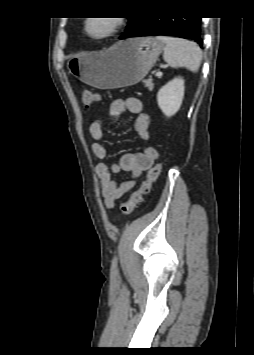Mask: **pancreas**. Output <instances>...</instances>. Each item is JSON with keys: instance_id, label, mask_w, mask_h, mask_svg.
Masks as SVG:
<instances>
[{"instance_id": "pancreas-1", "label": "pancreas", "mask_w": 254, "mask_h": 355, "mask_svg": "<svg viewBox=\"0 0 254 355\" xmlns=\"http://www.w3.org/2000/svg\"><path fill=\"white\" fill-rule=\"evenodd\" d=\"M143 83H144L145 87H147L149 89V91H152L154 84L151 79L144 80Z\"/></svg>"}]
</instances>
